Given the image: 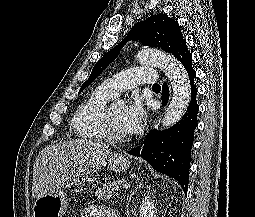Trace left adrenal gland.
<instances>
[{"mask_svg": "<svg viewBox=\"0 0 255 217\" xmlns=\"http://www.w3.org/2000/svg\"><path fill=\"white\" fill-rule=\"evenodd\" d=\"M143 186V182H140L138 185H137V187H136V189L130 194V196H129V199H128V203H127V214L129 213V203H130V200H131V198H132V196H134L135 194H136V192L141 188Z\"/></svg>", "mask_w": 255, "mask_h": 217, "instance_id": "left-adrenal-gland-1", "label": "left adrenal gland"}]
</instances>
